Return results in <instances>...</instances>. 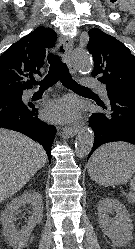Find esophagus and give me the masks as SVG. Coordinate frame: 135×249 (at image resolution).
Here are the masks:
<instances>
[{
  "label": "esophagus",
  "mask_w": 135,
  "mask_h": 249,
  "mask_svg": "<svg viewBox=\"0 0 135 249\" xmlns=\"http://www.w3.org/2000/svg\"><path fill=\"white\" fill-rule=\"evenodd\" d=\"M59 41L64 46L65 62L67 64L69 70L71 71V73L74 74L76 72V69H75V67L73 65V62H72V59H71V52H72L73 41H72L71 38L64 37V36H60ZM79 128L80 127L78 125L65 126L63 128V131L67 135L73 137L74 135H76L78 133Z\"/></svg>",
  "instance_id": "obj_1"
}]
</instances>
